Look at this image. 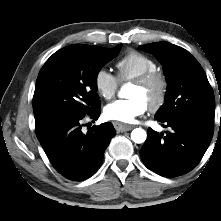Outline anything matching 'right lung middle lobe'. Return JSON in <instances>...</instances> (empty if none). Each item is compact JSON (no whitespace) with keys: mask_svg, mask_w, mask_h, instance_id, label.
Masks as SVG:
<instances>
[{"mask_svg":"<svg viewBox=\"0 0 221 221\" xmlns=\"http://www.w3.org/2000/svg\"><path fill=\"white\" fill-rule=\"evenodd\" d=\"M121 47L75 44L58 50L46 61L33 97L37 137L62 119L84 116L100 106L98 72Z\"/></svg>","mask_w":221,"mask_h":221,"instance_id":"obj_1","label":"right lung middle lobe"}]
</instances>
